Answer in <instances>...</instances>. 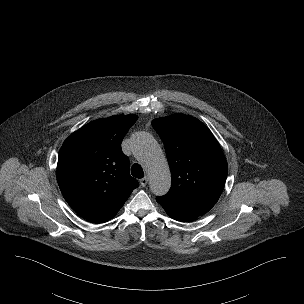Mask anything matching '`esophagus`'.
Masks as SVG:
<instances>
[{"label": "esophagus", "mask_w": 304, "mask_h": 304, "mask_svg": "<svg viewBox=\"0 0 304 304\" xmlns=\"http://www.w3.org/2000/svg\"><path fill=\"white\" fill-rule=\"evenodd\" d=\"M147 183H148V177L147 176H145L144 178L140 179L141 186L144 187V186L147 185Z\"/></svg>", "instance_id": "obj_1"}]
</instances>
